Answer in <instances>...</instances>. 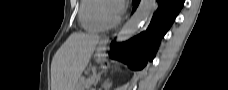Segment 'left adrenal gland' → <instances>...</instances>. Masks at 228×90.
Segmentation results:
<instances>
[{"label": "left adrenal gland", "mask_w": 228, "mask_h": 90, "mask_svg": "<svg viewBox=\"0 0 228 90\" xmlns=\"http://www.w3.org/2000/svg\"><path fill=\"white\" fill-rule=\"evenodd\" d=\"M107 69L101 70V72L98 73V75L96 76V78L93 80V85L96 86L98 84V82L100 81L101 75L103 72H106Z\"/></svg>", "instance_id": "1"}]
</instances>
